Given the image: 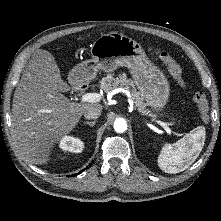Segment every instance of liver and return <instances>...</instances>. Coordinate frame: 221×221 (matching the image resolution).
Returning <instances> with one entry per match:
<instances>
[{"label":"liver","mask_w":221,"mask_h":221,"mask_svg":"<svg viewBox=\"0 0 221 221\" xmlns=\"http://www.w3.org/2000/svg\"><path fill=\"white\" fill-rule=\"evenodd\" d=\"M55 69L59 73L55 58L46 50H36L13 97L12 125L17 148L38 165L50 159V150L71 133L85 111L102 110L98 103L70 102L55 86Z\"/></svg>","instance_id":"6515ba94"}]
</instances>
